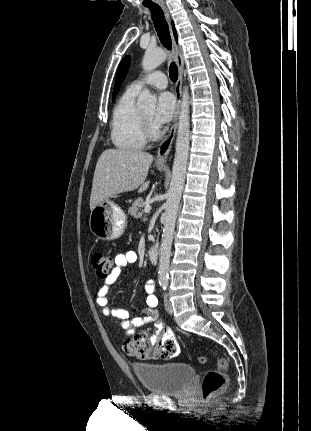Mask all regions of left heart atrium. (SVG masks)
<instances>
[{
  "label": "left heart atrium",
  "instance_id": "1",
  "mask_svg": "<svg viewBox=\"0 0 311 431\" xmlns=\"http://www.w3.org/2000/svg\"><path fill=\"white\" fill-rule=\"evenodd\" d=\"M177 107L176 99L170 92H162L158 96L157 108L153 116L156 127H162L170 122Z\"/></svg>",
  "mask_w": 311,
  "mask_h": 431
}]
</instances>
